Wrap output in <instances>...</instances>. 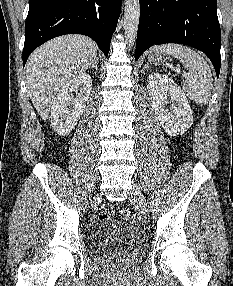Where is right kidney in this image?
I'll use <instances>...</instances> for the list:
<instances>
[{
	"mask_svg": "<svg viewBox=\"0 0 233 286\" xmlns=\"http://www.w3.org/2000/svg\"><path fill=\"white\" fill-rule=\"evenodd\" d=\"M91 89L92 78L87 73L77 75L62 87L51 107V124L55 132L63 136L75 127L89 100Z\"/></svg>",
	"mask_w": 233,
	"mask_h": 286,
	"instance_id": "ca27d5eb",
	"label": "right kidney"
}]
</instances>
